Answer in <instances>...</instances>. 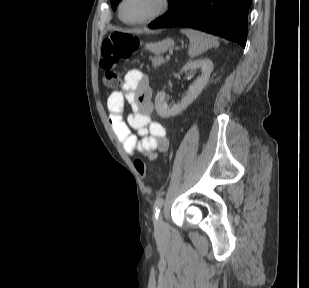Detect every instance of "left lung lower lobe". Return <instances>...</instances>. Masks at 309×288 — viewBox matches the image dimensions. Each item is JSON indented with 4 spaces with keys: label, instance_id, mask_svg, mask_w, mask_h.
<instances>
[{
    "label": "left lung lower lobe",
    "instance_id": "obj_1",
    "mask_svg": "<svg viewBox=\"0 0 309 288\" xmlns=\"http://www.w3.org/2000/svg\"><path fill=\"white\" fill-rule=\"evenodd\" d=\"M252 0H176L149 28L191 27L246 45Z\"/></svg>",
    "mask_w": 309,
    "mask_h": 288
}]
</instances>
